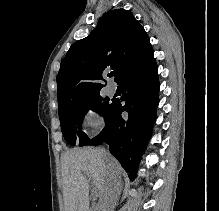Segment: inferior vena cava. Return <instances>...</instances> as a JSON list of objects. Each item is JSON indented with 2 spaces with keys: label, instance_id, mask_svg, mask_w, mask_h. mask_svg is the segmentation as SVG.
I'll use <instances>...</instances> for the list:
<instances>
[{
  "label": "inferior vena cava",
  "instance_id": "602c4592",
  "mask_svg": "<svg viewBox=\"0 0 219 211\" xmlns=\"http://www.w3.org/2000/svg\"><path fill=\"white\" fill-rule=\"evenodd\" d=\"M103 151V149H102ZM106 161H110L108 151H105ZM110 171L113 169L111 166L108 168ZM109 178V183H107V188H105V193L107 197H104V202L101 203V206L104 208H98L97 211H112V207L116 206L117 198H120V188L122 179H124V174H116L114 170Z\"/></svg>",
  "mask_w": 219,
  "mask_h": 211
}]
</instances>
